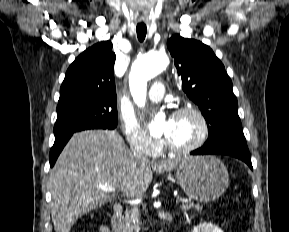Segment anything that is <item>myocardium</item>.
Masks as SVG:
<instances>
[{"instance_id":"obj_1","label":"myocardium","mask_w":289,"mask_h":232,"mask_svg":"<svg viewBox=\"0 0 289 232\" xmlns=\"http://www.w3.org/2000/svg\"><path fill=\"white\" fill-rule=\"evenodd\" d=\"M184 113H191L198 119L200 126H201V132H200L198 139L195 142H193L190 145L183 146V147L174 146L168 140H166L165 141L166 148L171 153L187 154V153L193 152L199 149L200 147H202L207 141L208 136H209L210 128H209L208 120L206 116L204 115V113L198 107L194 105L181 106L173 112L172 116L175 117Z\"/></svg>"}]
</instances>
